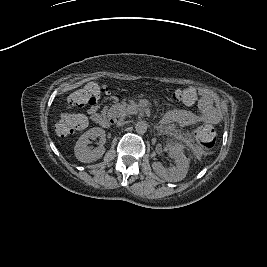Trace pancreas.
Returning a JSON list of instances; mask_svg holds the SVG:
<instances>
[{"instance_id": "1", "label": "pancreas", "mask_w": 267, "mask_h": 267, "mask_svg": "<svg viewBox=\"0 0 267 267\" xmlns=\"http://www.w3.org/2000/svg\"><path fill=\"white\" fill-rule=\"evenodd\" d=\"M137 104L132 102V103H129V104H126L125 105V109L127 110V112L129 111H132L134 109V106H136Z\"/></svg>"}]
</instances>
